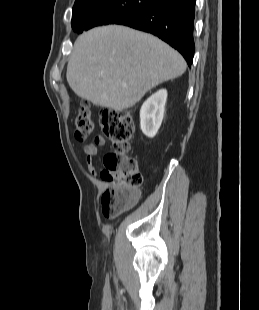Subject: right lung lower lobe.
<instances>
[{"label": "right lung lower lobe", "mask_w": 259, "mask_h": 310, "mask_svg": "<svg viewBox=\"0 0 259 310\" xmlns=\"http://www.w3.org/2000/svg\"><path fill=\"white\" fill-rule=\"evenodd\" d=\"M195 0H155L115 24L152 33L178 50L191 66L194 57Z\"/></svg>", "instance_id": "obj_1"}]
</instances>
